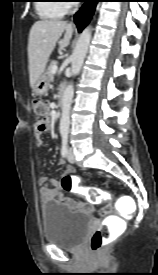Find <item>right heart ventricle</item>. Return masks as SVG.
I'll use <instances>...</instances> for the list:
<instances>
[{
	"mask_svg": "<svg viewBox=\"0 0 158 275\" xmlns=\"http://www.w3.org/2000/svg\"><path fill=\"white\" fill-rule=\"evenodd\" d=\"M62 1L57 0H44L41 3H38L37 10L38 13L44 17L49 19L61 18L65 15L67 11V7L63 3H59Z\"/></svg>",
	"mask_w": 158,
	"mask_h": 275,
	"instance_id": "e07e8e85",
	"label": "right heart ventricle"
}]
</instances>
